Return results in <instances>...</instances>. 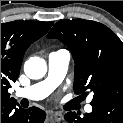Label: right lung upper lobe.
I'll return each instance as SVG.
<instances>
[{
	"mask_svg": "<svg viewBox=\"0 0 123 123\" xmlns=\"http://www.w3.org/2000/svg\"><path fill=\"white\" fill-rule=\"evenodd\" d=\"M52 22L13 21L1 23V101H13L8 89L18 78L27 48L45 35Z\"/></svg>",
	"mask_w": 123,
	"mask_h": 123,
	"instance_id": "cb5924a9",
	"label": "right lung upper lobe"
}]
</instances>
